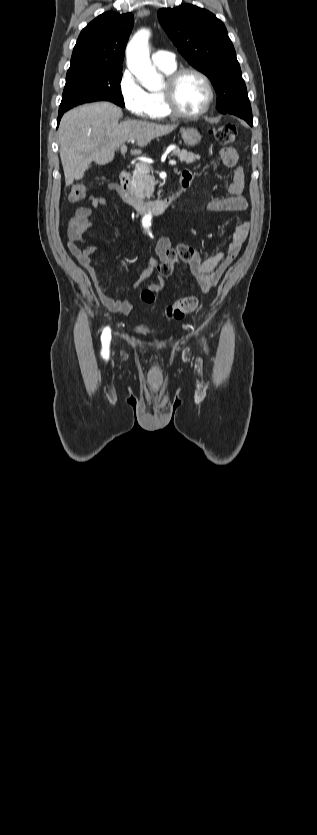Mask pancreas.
Here are the masks:
<instances>
[{
	"mask_svg": "<svg viewBox=\"0 0 317 835\" xmlns=\"http://www.w3.org/2000/svg\"><path fill=\"white\" fill-rule=\"evenodd\" d=\"M172 156L178 157L181 162H185L186 164H192L197 159H200L199 155H196L192 152H188L185 149H174L172 151ZM145 165L147 167L146 170H136L133 173L132 181L129 185V193L127 196V199L132 204L140 202L144 199H149L153 194L155 179L154 177L149 175L151 166L148 164Z\"/></svg>",
	"mask_w": 317,
	"mask_h": 835,
	"instance_id": "obj_1",
	"label": "pancreas"
}]
</instances>
